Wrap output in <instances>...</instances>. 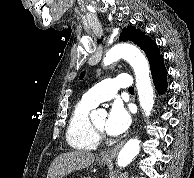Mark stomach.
I'll return each instance as SVG.
<instances>
[{"label":"stomach","instance_id":"obj_1","mask_svg":"<svg viewBox=\"0 0 194 178\" xmlns=\"http://www.w3.org/2000/svg\"><path fill=\"white\" fill-rule=\"evenodd\" d=\"M100 161H101V163H103V164H109V163H111V159H100Z\"/></svg>","mask_w":194,"mask_h":178}]
</instances>
